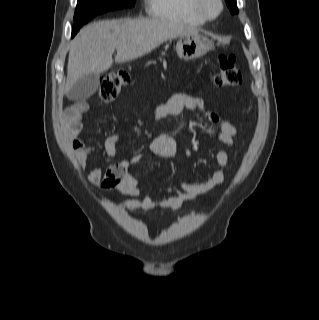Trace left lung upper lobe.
I'll return each instance as SVG.
<instances>
[{"label":"left lung upper lobe","instance_id":"1","mask_svg":"<svg viewBox=\"0 0 319 320\" xmlns=\"http://www.w3.org/2000/svg\"><path fill=\"white\" fill-rule=\"evenodd\" d=\"M232 14L238 13L236 0H225Z\"/></svg>","mask_w":319,"mask_h":320}]
</instances>
